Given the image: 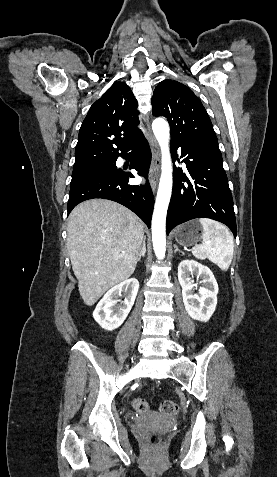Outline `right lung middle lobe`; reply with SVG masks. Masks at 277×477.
Masks as SVG:
<instances>
[{
  "label": "right lung middle lobe",
  "mask_w": 277,
  "mask_h": 477,
  "mask_svg": "<svg viewBox=\"0 0 277 477\" xmlns=\"http://www.w3.org/2000/svg\"><path fill=\"white\" fill-rule=\"evenodd\" d=\"M114 165L111 161L88 165L79 168H73L72 180L70 186L91 177L101 171L113 169Z\"/></svg>",
  "instance_id": "dd1d6c3e"
}]
</instances>
